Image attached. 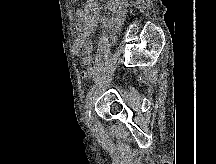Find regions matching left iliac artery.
Wrapping results in <instances>:
<instances>
[{
    "mask_svg": "<svg viewBox=\"0 0 216 164\" xmlns=\"http://www.w3.org/2000/svg\"><path fill=\"white\" fill-rule=\"evenodd\" d=\"M94 90H95V87H92L86 96V102H85V109H86L85 116L86 117L91 115L90 107H91L92 94Z\"/></svg>",
    "mask_w": 216,
    "mask_h": 164,
    "instance_id": "44dca946",
    "label": "left iliac artery"
}]
</instances>
